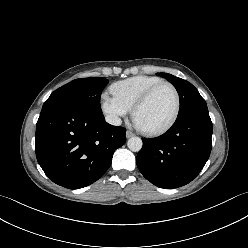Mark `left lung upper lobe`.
I'll list each match as a JSON object with an SVG mask.
<instances>
[{"instance_id": "obj_1", "label": "left lung upper lobe", "mask_w": 248, "mask_h": 248, "mask_svg": "<svg viewBox=\"0 0 248 248\" xmlns=\"http://www.w3.org/2000/svg\"><path fill=\"white\" fill-rule=\"evenodd\" d=\"M157 74L171 82L179 94L180 109L177 118L186 115L187 113L197 109L198 107L206 106V102L201 97L198 90L188 81L168 73Z\"/></svg>"}]
</instances>
